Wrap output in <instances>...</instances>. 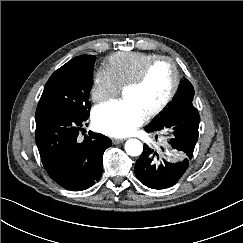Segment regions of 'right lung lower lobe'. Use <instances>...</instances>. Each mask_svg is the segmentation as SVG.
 Wrapping results in <instances>:
<instances>
[{"label": "right lung lower lobe", "mask_w": 243, "mask_h": 243, "mask_svg": "<svg viewBox=\"0 0 243 243\" xmlns=\"http://www.w3.org/2000/svg\"><path fill=\"white\" fill-rule=\"evenodd\" d=\"M88 117L49 112L35 115V140L43 166L57 184L72 191L85 190L100 178L103 153L112 144L108 137L94 132L78 141Z\"/></svg>", "instance_id": "right-lung-lower-lobe-1"}]
</instances>
